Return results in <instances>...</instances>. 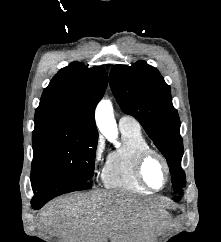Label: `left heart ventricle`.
Returning a JSON list of instances; mask_svg holds the SVG:
<instances>
[{
  "mask_svg": "<svg viewBox=\"0 0 221 242\" xmlns=\"http://www.w3.org/2000/svg\"><path fill=\"white\" fill-rule=\"evenodd\" d=\"M144 174L148 183L154 188H161L165 183L166 174L164 166L156 157L148 160L144 168Z\"/></svg>",
  "mask_w": 221,
  "mask_h": 242,
  "instance_id": "1",
  "label": "left heart ventricle"
}]
</instances>
